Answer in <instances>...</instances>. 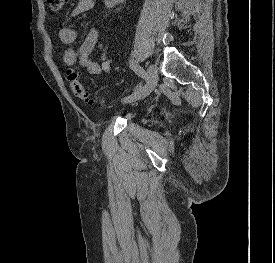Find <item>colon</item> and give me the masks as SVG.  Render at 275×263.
I'll return each instance as SVG.
<instances>
[{"mask_svg": "<svg viewBox=\"0 0 275 263\" xmlns=\"http://www.w3.org/2000/svg\"><path fill=\"white\" fill-rule=\"evenodd\" d=\"M49 8L53 12H62L67 0H46ZM67 78L69 86L74 96L87 104H94L97 102L95 96L91 94L85 87L79 73L74 69L67 71Z\"/></svg>", "mask_w": 275, "mask_h": 263, "instance_id": "5ec220e1", "label": "colon"}]
</instances>
